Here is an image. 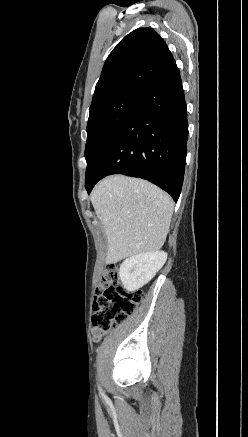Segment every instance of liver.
<instances>
[{"instance_id": "1", "label": "liver", "mask_w": 248, "mask_h": 437, "mask_svg": "<svg viewBox=\"0 0 248 437\" xmlns=\"http://www.w3.org/2000/svg\"><path fill=\"white\" fill-rule=\"evenodd\" d=\"M90 200L107 236V262L163 246L174 203L157 186L142 179L110 176L95 186Z\"/></svg>"}]
</instances>
